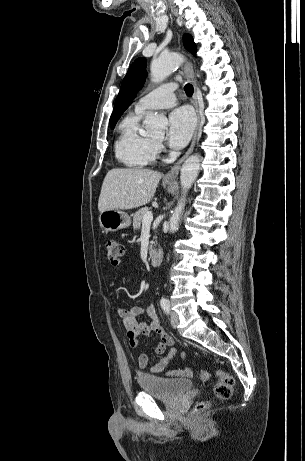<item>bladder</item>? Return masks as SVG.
Masks as SVG:
<instances>
[{
	"instance_id": "1",
	"label": "bladder",
	"mask_w": 305,
	"mask_h": 461,
	"mask_svg": "<svg viewBox=\"0 0 305 461\" xmlns=\"http://www.w3.org/2000/svg\"><path fill=\"white\" fill-rule=\"evenodd\" d=\"M137 384L142 392L168 401L178 399L193 387L189 379L168 378L154 374L139 375Z\"/></svg>"
}]
</instances>
